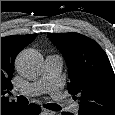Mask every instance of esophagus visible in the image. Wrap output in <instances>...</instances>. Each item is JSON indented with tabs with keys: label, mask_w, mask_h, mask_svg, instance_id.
I'll use <instances>...</instances> for the list:
<instances>
[{
	"label": "esophagus",
	"mask_w": 115,
	"mask_h": 115,
	"mask_svg": "<svg viewBox=\"0 0 115 115\" xmlns=\"http://www.w3.org/2000/svg\"><path fill=\"white\" fill-rule=\"evenodd\" d=\"M42 112L45 115H54L55 114L54 111H51V110H48V109H42Z\"/></svg>",
	"instance_id": "obj_1"
}]
</instances>
